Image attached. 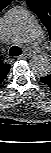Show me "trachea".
Returning <instances> with one entry per match:
<instances>
[{"instance_id": "1", "label": "trachea", "mask_w": 51, "mask_h": 153, "mask_svg": "<svg viewBox=\"0 0 51 153\" xmlns=\"http://www.w3.org/2000/svg\"><path fill=\"white\" fill-rule=\"evenodd\" d=\"M22 54V50L17 46H12L9 50V55L11 57H16Z\"/></svg>"}]
</instances>
